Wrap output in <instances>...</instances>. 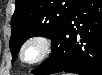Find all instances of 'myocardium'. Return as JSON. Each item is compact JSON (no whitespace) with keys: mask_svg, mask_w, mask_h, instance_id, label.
I'll return each instance as SVG.
<instances>
[{"mask_svg":"<svg viewBox=\"0 0 102 75\" xmlns=\"http://www.w3.org/2000/svg\"><path fill=\"white\" fill-rule=\"evenodd\" d=\"M35 49L34 54L30 50ZM52 50L51 40L43 35H34L28 38L20 49V57L25 63H36L45 59Z\"/></svg>","mask_w":102,"mask_h":75,"instance_id":"obj_1","label":"myocardium"}]
</instances>
